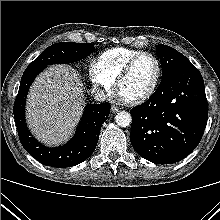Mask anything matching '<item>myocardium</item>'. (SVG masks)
I'll list each match as a JSON object with an SVG mask.
<instances>
[{
	"label": "myocardium",
	"mask_w": 220,
	"mask_h": 220,
	"mask_svg": "<svg viewBox=\"0 0 220 220\" xmlns=\"http://www.w3.org/2000/svg\"><path fill=\"white\" fill-rule=\"evenodd\" d=\"M144 56L152 58L156 64L155 79H154L151 87L144 94L140 95L139 97L133 98V99H125L124 100L129 104H140V103H143L144 101L148 100L155 93V91L160 83V80H161L162 65H161L159 58L151 52L141 51L138 54L134 55L132 58H130L128 60V62L124 65V67L121 69L119 74L117 75V77L115 79L116 91L119 93V87H120L122 81L127 77V75L129 74V72L131 71L132 67L137 62V60L140 59L141 57H144Z\"/></svg>",
	"instance_id": "1"
}]
</instances>
